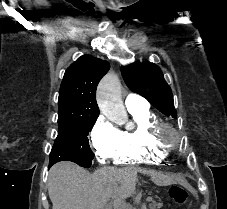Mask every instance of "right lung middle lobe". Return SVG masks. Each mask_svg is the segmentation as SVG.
<instances>
[{
    "label": "right lung middle lobe",
    "instance_id": "dd1d6c3e",
    "mask_svg": "<svg viewBox=\"0 0 227 209\" xmlns=\"http://www.w3.org/2000/svg\"><path fill=\"white\" fill-rule=\"evenodd\" d=\"M98 115L58 116V136L50 153L49 168L59 161H72L89 168L92 153L88 133L96 122Z\"/></svg>",
    "mask_w": 227,
    "mask_h": 209
}]
</instances>
